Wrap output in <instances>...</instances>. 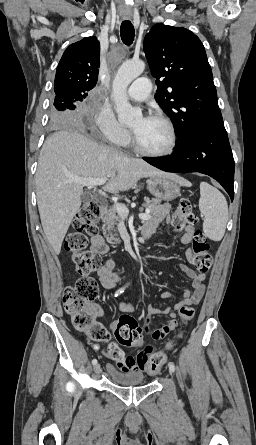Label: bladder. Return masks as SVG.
<instances>
[{"label": "bladder", "mask_w": 256, "mask_h": 445, "mask_svg": "<svg viewBox=\"0 0 256 445\" xmlns=\"http://www.w3.org/2000/svg\"><path fill=\"white\" fill-rule=\"evenodd\" d=\"M108 373L112 382L119 385H141L145 380L139 371H121L113 366H108Z\"/></svg>", "instance_id": "31cf9c89"}]
</instances>
